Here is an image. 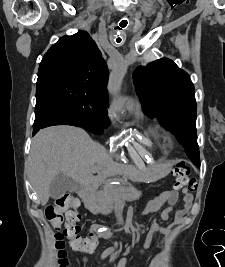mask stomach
Here are the masks:
<instances>
[{
    "mask_svg": "<svg viewBox=\"0 0 225 267\" xmlns=\"http://www.w3.org/2000/svg\"><path fill=\"white\" fill-rule=\"evenodd\" d=\"M169 170V166L168 165H163L161 168H160V172L161 174H166Z\"/></svg>",
    "mask_w": 225,
    "mask_h": 267,
    "instance_id": "obj_1",
    "label": "stomach"
}]
</instances>
